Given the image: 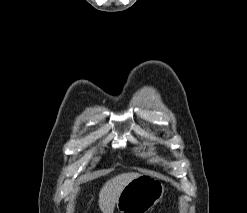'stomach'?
Listing matches in <instances>:
<instances>
[{"label":"stomach","instance_id":"obj_1","mask_svg":"<svg viewBox=\"0 0 247 213\" xmlns=\"http://www.w3.org/2000/svg\"><path fill=\"white\" fill-rule=\"evenodd\" d=\"M162 182L148 175H141L121 191L116 205L120 213H147L162 199Z\"/></svg>","mask_w":247,"mask_h":213}]
</instances>
